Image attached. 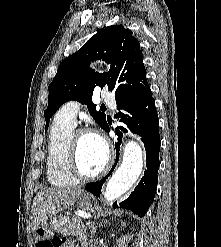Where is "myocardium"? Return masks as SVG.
Masks as SVG:
<instances>
[{
  "label": "myocardium",
  "mask_w": 221,
  "mask_h": 247,
  "mask_svg": "<svg viewBox=\"0 0 221 247\" xmlns=\"http://www.w3.org/2000/svg\"><path fill=\"white\" fill-rule=\"evenodd\" d=\"M94 135L98 137L106 149V162L102 169L95 174H85L82 172L78 160V144L81 136ZM69 167L72 174L80 181H93L103 177L111 168L113 163V150L108 141L98 132L92 129L80 128L72 132L68 153Z\"/></svg>",
  "instance_id": "obj_1"
}]
</instances>
